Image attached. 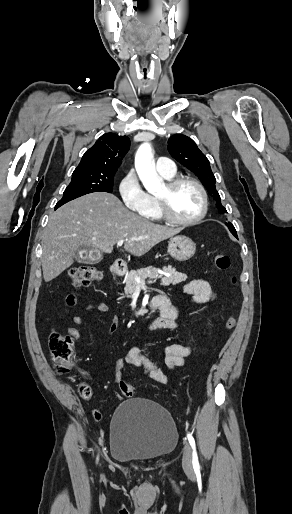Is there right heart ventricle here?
<instances>
[{
	"instance_id": "right-heart-ventricle-1",
	"label": "right heart ventricle",
	"mask_w": 292,
	"mask_h": 514,
	"mask_svg": "<svg viewBox=\"0 0 292 514\" xmlns=\"http://www.w3.org/2000/svg\"><path fill=\"white\" fill-rule=\"evenodd\" d=\"M162 178L170 181V180H173V177L171 178H167L165 176H162ZM140 212L143 214V215H146L148 217H151L153 219H156V220H162L163 217L158 209V206H157V203L155 201V195L153 194H149L147 193V202H146V205L144 206V208L142 210H140Z\"/></svg>"
}]
</instances>
